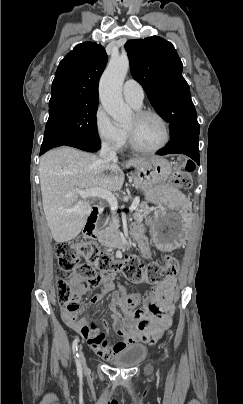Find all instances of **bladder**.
I'll return each mask as SVG.
<instances>
[{"label": "bladder", "mask_w": 243, "mask_h": 404, "mask_svg": "<svg viewBox=\"0 0 243 404\" xmlns=\"http://www.w3.org/2000/svg\"><path fill=\"white\" fill-rule=\"evenodd\" d=\"M147 355V348L141 343H133L116 352L110 363L118 368H132L140 364Z\"/></svg>", "instance_id": "obj_1"}]
</instances>
